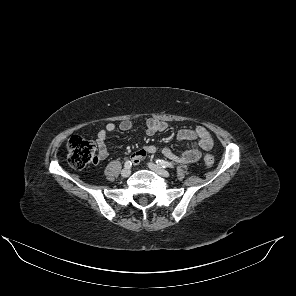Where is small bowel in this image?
I'll return each mask as SVG.
<instances>
[{"label":"small bowel","instance_id":"obj_1","mask_svg":"<svg viewBox=\"0 0 296 296\" xmlns=\"http://www.w3.org/2000/svg\"><path fill=\"white\" fill-rule=\"evenodd\" d=\"M146 134L151 136L155 133L165 131L167 123L155 118H146L144 120ZM134 124L131 120H123L116 126L114 123L106 124L97 134L96 143L98 146L99 159H105L111 152L106 145V138L109 133L115 131L117 128L120 131L127 132L133 128ZM177 139L180 141L191 140L193 145L183 151L180 155L174 153L170 148L164 147L160 151L170 160L176 163L188 164L200 159L202 151H209L213 147V140L210 133L203 126H197L195 129H182L177 133ZM159 148L155 145H147L135 152L131 160L135 165H139L145 160L147 155L155 154Z\"/></svg>","mask_w":296,"mask_h":296}]
</instances>
